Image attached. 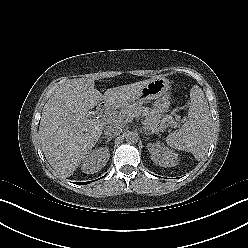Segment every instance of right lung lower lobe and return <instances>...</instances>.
<instances>
[{
	"label": "right lung lower lobe",
	"instance_id": "obj_1",
	"mask_svg": "<svg viewBox=\"0 0 248 248\" xmlns=\"http://www.w3.org/2000/svg\"><path fill=\"white\" fill-rule=\"evenodd\" d=\"M88 183H90V182H82V183H79V184L83 185V184H88Z\"/></svg>",
	"mask_w": 248,
	"mask_h": 248
}]
</instances>
